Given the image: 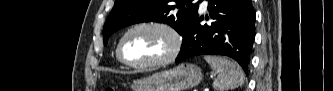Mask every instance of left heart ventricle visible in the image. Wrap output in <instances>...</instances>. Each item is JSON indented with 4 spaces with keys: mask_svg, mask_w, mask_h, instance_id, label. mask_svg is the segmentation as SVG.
<instances>
[{
    "mask_svg": "<svg viewBox=\"0 0 333 91\" xmlns=\"http://www.w3.org/2000/svg\"><path fill=\"white\" fill-rule=\"evenodd\" d=\"M171 41L162 31L157 29H139L131 33L125 42V57L133 63H145L166 56Z\"/></svg>",
    "mask_w": 333,
    "mask_h": 91,
    "instance_id": "obj_1",
    "label": "left heart ventricle"
}]
</instances>
